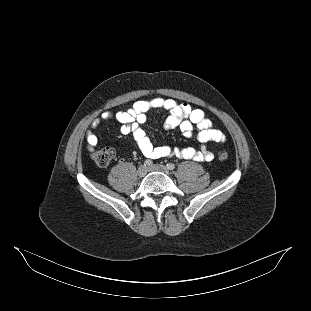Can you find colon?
<instances>
[{
	"mask_svg": "<svg viewBox=\"0 0 311 311\" xmlns=\"http://www.w3.org/2000/svg\"><path fill=\"white\" fill-rule=\"evenodd\" d=\"M114 154L115 152L112 148L105 147L92 151L91 158L97 166L106 167L112 161ZM217 158L219 161H226L228 153L226 151H221L218 153Z\"/></svg>",
	"mask_w": 311,
	"mask_h": 311,
	"instance_id": "colon-1",
	"label": "colon"
}]
</instances>
